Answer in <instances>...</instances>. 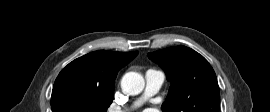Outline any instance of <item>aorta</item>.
<instances>
[{
  "mask_svg": "<svg viewBox=\"0 0 270 112\" xmlns=\"http://www.w3.org/2000/svg\"><path fill=\"white\" fill-rule=\"evenodd\" d=\"M145 86L144 78L137 72L126 73L121 80L122 90L130 95L140 94Z\"/></svg>",
  "mask_w": 270,
  "mask_h": 112,
  "instance_id": "762f6f07",
  "label": "aorta"
}]
</instances>
